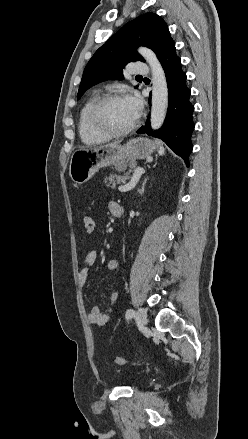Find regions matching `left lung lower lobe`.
Masks as SVG:
<instances>
[{"mask_svg":"<svg viewBox=\"0 0 248 439\" xmlns=\"http://www.w3.org/2000/svg\"><path fill=\"white\" fill-rule=\"evenodd\" d=\"M168 84V109L163 127L152 131L149 119L137 133H147L163 140L187 166L192 152L191 134L194 130L192 114L194 106L189 101L191 90L186 85V74L181 69V59L176 55L175 43H171L159 58ZM150 103V100H149Z\"/></svg>","mask_w":248,"mask_h":439,"instance_id":"1","label":"left lung lower lobe"}]
</instances>
